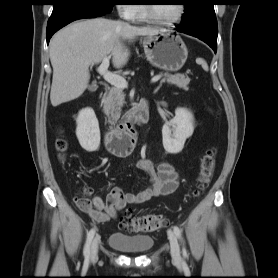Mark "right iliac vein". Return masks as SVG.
<instances>
[{"instance_id":"obj_1","label":"right iliac vein","mask_w":278,"mask_h":278,"mask_svg":"<svg viewBox=\"0 0 278 278\" xmlns=\"http://www.w3.org/2000/svg\"><path fill=\"white\" fill-rule=\"evenodd\" d=\"M98 244H99V237H95L92 244H91V254L90 259L91 261L97 260L98 257Z\"/></svg>"}]
</instances>
